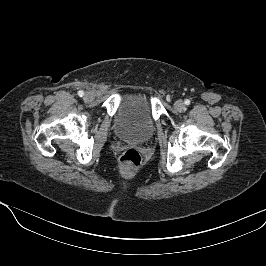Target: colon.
I'll use <instances>...</instances> for the list:
<instances>
[{
	"mask_svg": "<svg viewBox=\"0 0 266 266\" xmlns=\"http://www.w3.org/2000/svg\"><path fill=\"white\" fill-rule=\"evenodd\" d=\"M120 164L125 168H137L141 164L140 153L133 148L127 149L120 157Z\"/></svg>",
	"mask_w": 266,
	"mask_h": 266,
	"instance_id": "5ec220e1",
	"label": "colon"
}]
</instances>
